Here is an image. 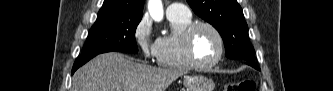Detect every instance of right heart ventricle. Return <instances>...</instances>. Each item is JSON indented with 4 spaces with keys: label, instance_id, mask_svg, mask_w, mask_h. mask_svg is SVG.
Here are the masks:
<instances>
[{
    "label": "right heart ventricle",
    "instance_id": "right-heart-ventricle-1",
    "mask_svg": "<svg viewBox=\"0 0 333 91\" xmlns=\"http://www.w3.org/2000/svg\"><path fill=\"white\" fill-rule=\"evenodd\" d=\"M173 33L156 40L155 60L158 66L168 69L190 70L183 53L182 35L192 24V16L168 15Z\"/></svg>",
    "mask_w": 333,
    "mask_h": 91
}]
</instances>
